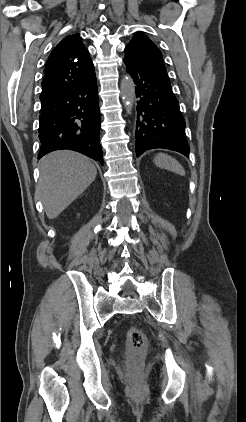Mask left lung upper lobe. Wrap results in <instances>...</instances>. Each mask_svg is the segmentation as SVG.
<instances>
[{
    "mask_svg": "<svg viewBox=\"0 0 246 422\" xmlns=\"http://www.w3.org/2000/svg\"><path fill=\"white\" fill-rule=\"evenodd\" d=\"M125 52L133 54L152 71L169 81L160 50L146 35L136 33L126 46Z\"/></svg>",
    "mask_w": 246,
    "mask_h": 422,
    "instance_id": "left-lung-upper-lobe-1",
    "label": "left lung upper lobe"
}]
</instances>
